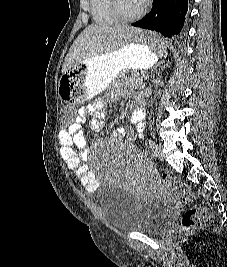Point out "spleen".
Instances as JSON below:
<instances>
[{
  "label": "spleen",
  "instance_id": "obj_1",
  "mask_svg": "<svg viewBox=\"0 0 227 267\" xmlns=\"http://www.w3.org/2000/svg\"><path fill=\"white\" fill-rule=\"evenodd\" d=\"M159 31H142V33H130L132 43H143L144 47H151L153 55H159L160 63H167L166 55L170 51V46H163L164 38H156Z\"/></svg>",
  "mask_w": 227,
  "mask_h": 267
}]
</instances>
